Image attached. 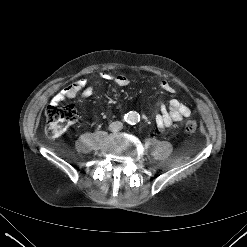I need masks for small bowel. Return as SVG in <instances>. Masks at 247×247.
Listing matches in <instances>:
<instances>
[{
    "mask_svg": "<svg viewBox=\"0 0 247 247\" xmlns=\"http://www.w3.org/2000/svg\"><path fill=\"white\" fill-rule=\"evenodd\" d=\"M100 76L104 80L114 82L119 87H125L130 83L129 78L122 74L102 72ZM86 84L87 82L85 79H80L75 83L68 85L57 93L52 98L51 102L58 104L65 99L76 97L79 93H81L83 97H89L92 94V89L86 87ZM159 87L165 92H174V87L167 81H161ZM190 115L191 110L187 105L177 99H172L168 104H161V112L156 116L155 121L159 129H164L170 127L175 122H179L182 119L189 117Z\"/></svg>",
    "mask_w": 247,
    "mask_h": 247,
    "instance_id": "small-bowel-1",
    "label": "small bowel"
}]
</instances>
